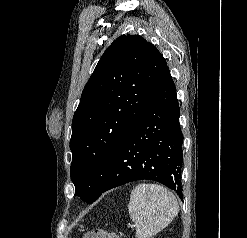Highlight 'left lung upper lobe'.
<instances>
[{
  "label": "left lung upper lobe",
  "mask_w": 247,
  "mask_h": 238,
  "mask_svg": "<svg viewBox=\"0 0 247 238\" xmlns=\"http://www.w3.org/2000/svg\"><path fill=\"white\" fill-rule=\"evenodd\" d=\"M166 68L162 54L137 35H121L100 58L72 121L70 173L83 201L99 198L119 147Z\"/></svg>",
  "instance_id": "1"
}]
</instances>
